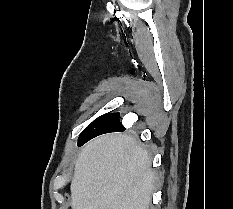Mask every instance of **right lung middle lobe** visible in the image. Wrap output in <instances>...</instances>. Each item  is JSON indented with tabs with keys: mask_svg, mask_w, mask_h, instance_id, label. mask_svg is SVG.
I'll return each mask as SVG.
<instances>
[{
	"mask_svg": "<svg viewBox=\"0 0 233 209\" xmlns=\"http://www.w3.org/2000/svg\"><path fill=\"white\" fill-rule=\"evenodd\" d=\"M119 113L116 114H104L98 118H96L88 128H86L80 135L78 142L86 137H89L91 134L106 129L112 128L116 126H122Z\"/></svg>",
	"mask_w": 233,
	"mask_h": 209,
	"instance_id": "obj_1",
	"label": "right lung middle lobe"
}]
</instances>
